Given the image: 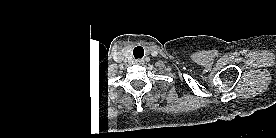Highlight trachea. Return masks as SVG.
Masks as SVG:
<instances>
[{"label": "trachea", "mask_w": 276, "mask_h": 138, "mask_svg": "<svg viewBox=\"0 0 276 138\" xmlns=\"http://www.w3.org/2000/svg\"><path fill=\"white\" fill-rule=\"evenodd\" d=\"M133 54L136 59H138V58L140 59L144 56V50L141 46L135 47Z\"/></svg>", "instance_id": "obj_1"}]
</instances>
